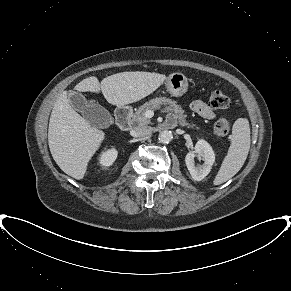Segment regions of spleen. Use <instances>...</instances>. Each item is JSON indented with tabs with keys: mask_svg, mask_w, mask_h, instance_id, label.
Here are the masks:
<instances>
[{
	"mask_svg": "<svg viewBox=\"0 0 291 291\" xmlns=\"http://www.w3.org/2000/svg\"><path fill=\"white\" fill-rule=\"evenodd\" d=\"M231 144L221 167L213 181L220 185L232 178L243 166L250 149V127L245 118L235 121L230 135Z\"/></svg>",
	"mask_w": 291,
	"mask_h": 291,
	"instance_id": "obj_1",
	"label": "spleen"
}]
</instances>
